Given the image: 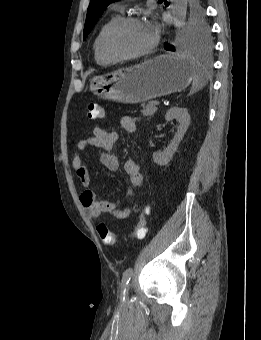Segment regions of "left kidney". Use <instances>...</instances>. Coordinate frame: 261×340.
I'll return each mask as SVG.
<instances>
[{"mask_svg":"<svg viewBox=\"0 0 261 340\" xmlns=\"http://www.w3.org/2000/svg\"><path fill=\"white\" fill-rule=\"evenodd\" d=\"M173 119H176L179 123L174 138L167 148L162 152L153 153L152 156L153 161L160 166L167 165L170 162L190 124V115L186 108H170L165 115V120L170 122Z\"/></svg>","mask_w":261,"mask_h":340,"instance_id":"obj_1","label":"left kidney"}]
</instances>
